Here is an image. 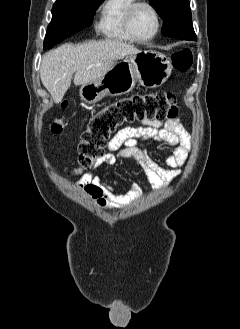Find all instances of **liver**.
Returning a JSON list of instances; mask_svg holds the SVG:
<instances>
[{"label":"liver","mask_w":240,"mask_h":329,"mask_svg":"<svg viewBox=\"0 0 240 329\" xmlns=\"http://www.w3.org/2000/svg\"><path fill=\"white\" fill-rule=\"evenodd\" d=\"M141 52L133 45L105 39L80 45L64 44L45 54L40 68L44 87L55 103H60L71 85H83L105 75L117 61Z\"/></svg>","instance_id":"6515ba94"}]
</instances>
